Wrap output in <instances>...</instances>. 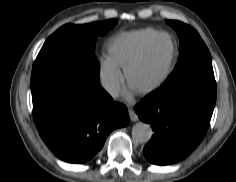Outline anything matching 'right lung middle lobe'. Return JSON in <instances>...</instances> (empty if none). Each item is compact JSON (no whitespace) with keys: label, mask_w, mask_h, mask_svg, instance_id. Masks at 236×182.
Wrapping results in <instances>:
<instances>
[{"label":"right lung middle lobe","mask_w":236,"mask_h":182,"mask_svg":"<svg viewBox=\"0 0 236 182\" xmlns=\"http://www.w3.org/2000/svg\"><path fill=\"white\" fill-rule=\"evenodd\" d=\"M116 23V19H111L85 25L66 24L55 31L33 64L31 89L55 81L77 80L98 90L100 67L94 41Z\"/></svg>","instance_id":"obj_1"}]
</instances>
